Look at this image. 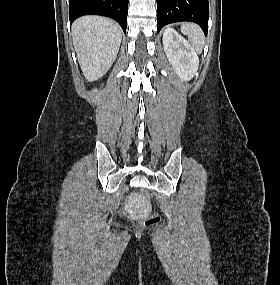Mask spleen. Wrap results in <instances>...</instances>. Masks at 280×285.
Returning a JSON list of instances; mask_svg holds the SVG:
<instances>
[{
  "label": "spleen",
  "mask_w": 280,
  "mask_h": 285,
  "mask_svg": "<svg viewBox=\"0 0 280 285\" xmlns=\"http://www.w3.org/2000/svg\"><path fill=\"white\" fill-rule=\"evenodd\" d=\"M181 32L188 37L189 42L197 52L202 51L204 37L200 27L193 23H185L181 26Z\"/></svg>",
  "instance_id": "obj_1"
}]
</instances>
